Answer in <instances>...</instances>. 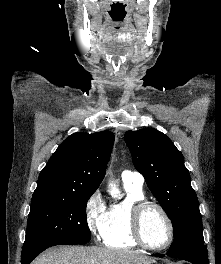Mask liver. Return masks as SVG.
Segmentation results:
<instances>
[{"label":"liver","instance_id":"liver-1","mask_svg":"<svg viewBox=\"0 0 221 264\" xmlns=\"http://www.w3.org/2000/svg\"><path fill=\"white\" fill-rule=\"evenodd\" d=\"M147 256L127 250L65 246L46 251L31 264H149Z\"/></svg>","mask_w":221,"mask_h":264}]
</instances>
